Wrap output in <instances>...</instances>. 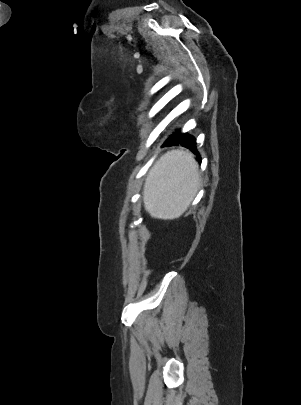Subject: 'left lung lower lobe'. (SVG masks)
<instances>
[{
  "label": "left lung lower lobe",
  "instance_id": "0a47b994",
  "mask_svg": "<svg viewBox=\"0 0 301 405\" xmlns=\"http://www.w3.org/2000/svg\"><path fill=\"white\" fill-rule=\"evenodd\" d=\"M181 145L188 148L194 154L199 155L196 148V138L188 135L187 133L182 134L180 130L173 133L163 144V146Z\"/></svg>",
  "mask_w": 301,
  "mask_h": 405
}]
</instances>
